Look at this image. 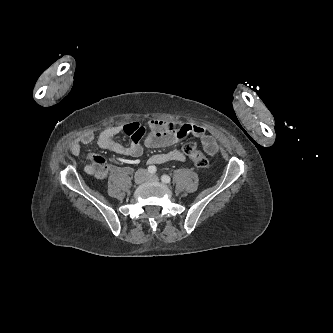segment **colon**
Listing matches in <instances>:
<instances>
[{"instance_id": "5ec220e1", "label": "colon", "mask_w": 333, "mask_h": 333, "mask_svg": "<svg viewBox=\"0 0 333 333\" xmlns=\"http://www.w3.org/2000/svg\"><path fill=\"white\" fill-rule=\"evenodd\" d=\"M198 148L197 143L195 141H190L183 146V152L193 157L194 164L199 168H205L208 166L209 161L205 155L197 154Z\"/></svg>"}]
</instances>
